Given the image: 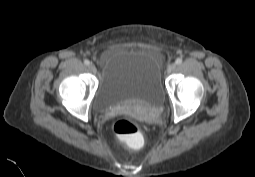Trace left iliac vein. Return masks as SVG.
<instances>
[{
    "mask_svg": "<svg viewBox=\"0 0 255 177\" xmlns=\"http://www.w3.org/2000/svg\"><path fill=\"white\" fill-rule=\"evenodd\" d=\"M176 69V64L172 63L167 67V72L172 73Z\"/></svg>",
    "mask_w": 255,
    "mask_h": 177,
    "instance_id": "1",
    "label": "left iliac vein"
}]
</instances>
